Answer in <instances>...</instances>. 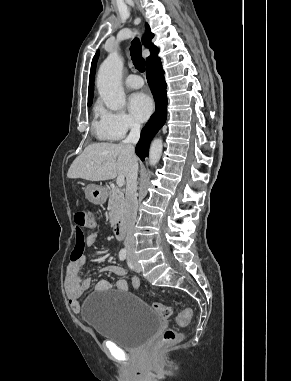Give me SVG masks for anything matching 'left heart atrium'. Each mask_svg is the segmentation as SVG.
Segmentation results:
<instances>
[{"instance_id": "left-heart-atrium-1", "label": "left heart atrium", "mask_w": 291, "mask_h": 381, "mask_svg": "<svg viewBox=\"0 0 291 381\" xmlns=\"http://www.w3.org/2000/svg\"><path fill=\"white\" fill-rule=\"evenodd\" d=\"M129 109L136 120L143 122L150 116L153 102L145 93H134L129 98Z\"/></svg>"}]
</instances>
